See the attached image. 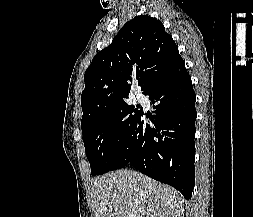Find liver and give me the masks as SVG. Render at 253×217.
<instances>
[{
	"label": "liver",
	"instance_id": "liver-1",
	"mask_svg": "<svg viewBox=\"0 0 253 217\" xmlns=\"http://www.w3.org/2000/svg\"><path fill=\"white\" fill-rule=\"evenodd\" d=\"M183 197L139 172L117 170L93 180L95 217H181Z\"/></svg>",
	"mask_w": 253,
	"mask_h": 217
}]
</instances>
